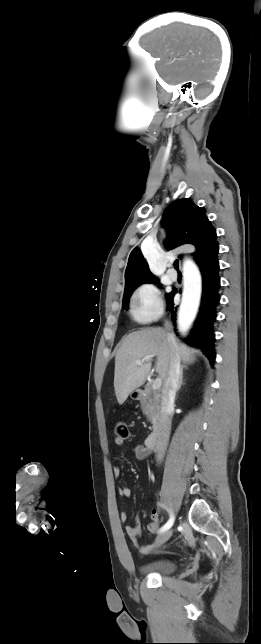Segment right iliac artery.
Instances as JSON below:
<instances>
[{
    "mask_svg": "<svg viewBox=\"0 0 261 644\" xmlns=\"http://www.w3.org/2000/svg\"><path fill=\"white\" fill-rule=\"evenodd\" d=\"M173 523H174V516L171 514L170 519H169V520H168V522H167V523H166V524H165V525L160 529V532L167 531L169 528H171V527H172Z\"/></svg>",
    "mask_w": 261,
    "mask_h": 644,
    "instance_id": "82829eb1",
    "label": "right iliac artery"
}]
</instances>
